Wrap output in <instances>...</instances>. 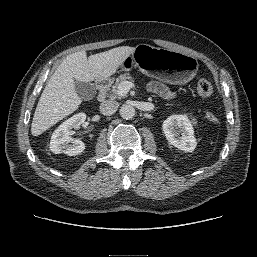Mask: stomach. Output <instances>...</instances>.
I'll use <instances>...</instances> for the list:
<instances>
[{
  "instance_id": "1",
  "label": "stomach",
  "mask_w": 257,
  "mask_h": 257,
  "mask_svg": "<svg viewBox=\"0 0 257 257\" xmlns=\"http://www.w3.org/2000/svg\"><path fill=\"white\" fill-rule=\"evenodd\" d=\"M147 76L158 78L169 83L185 84L194 78L198 71L195 57L165 48H156L148 44H139L134 52L121 64V71L132 68Z\"/></svg>"
}]
</instances>
